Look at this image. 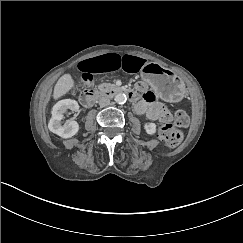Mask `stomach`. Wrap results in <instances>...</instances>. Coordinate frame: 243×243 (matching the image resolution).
Returning a JSON list of instances; mask_svg holds the SVG:
<instances>
[{"label": "stomach", "instance_id": "0dacf381", "mask_svg": "<svg viewBox=\"0 0 243 243\" xmlns=\"http://www.w3.org/2000/svg\"><path fill=\"white\" fill-rule=\"evenodd\" d=\"M142 79L166 101L177 102L185 93L183 81L172 71L156 63H146L140 70Z\"/></svg>", "mask_w": 243, "mask_h": 243}]
</instances>
